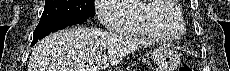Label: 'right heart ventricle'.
Returning a JSON list of instances; mask_svg holds the SVG:
<instances>
[{
	"label": "right heart ventricle",
	"mask_w": 230,
	"mask_h": 71,
	"mask_svg": "<svg viewBox=\"0 0 230 71\" xmlns=\"http://www.w3.org/2000/svg\"><path fill=\"white\" fill-rule=\"evenodd\" d=\"M116 10L125 15L124 22L116 28L123 34L176 39L184 32L183 15L177 1H126Z\"/></svg>",
	"instance_id": "1"
}]
</instances>
